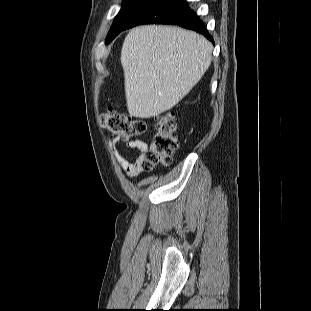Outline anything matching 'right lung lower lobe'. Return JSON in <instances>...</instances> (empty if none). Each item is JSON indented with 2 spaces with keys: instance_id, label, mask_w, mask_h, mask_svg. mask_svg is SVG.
I'll list each match as a JSON object with an SVG mask.
<instances>
[{
  "instance_id": "right-lung-lower-lobe-1",
  "label": "right lung lower lobe",
  "mask_w": 311,
  "mask_h": 311,
  "mask_svg": "<svg viewBox=\"0 0 311 311\" xmlns=\"http://www.w3.org/2000/svg\"><path fill=\"white\" fill-rule=\"evenodd\" d=\"M141 24L177 25L194 30L214 42L203 22L188 7L186 0H157L136 15L124 30Z\"/></svg>"
}]
</instances>
